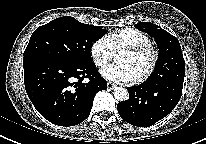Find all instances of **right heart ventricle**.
<instances>
[{
  "label": "right heart ventricle",
  "instance_id": "e07e8e85",
  "mask_svg": "<svg viewBox=\"0 0 206 144\" xmlns=\"http://www.w3.org/2000/svg\"><path fill=\"white\" fill-rule=\"evenodd\" d=\"M112 50L126 46L150 43L149 37L138 29L125 27L118 29L106 36Z\"/></svg>",
  "mask_w": 206,
  "mask_h": 144
}]
</instances>
